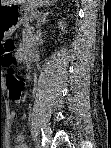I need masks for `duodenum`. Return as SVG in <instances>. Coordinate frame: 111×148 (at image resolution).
<instances>
[{
    "label": "duodenum",
    "mask_w": 111,
    "mask_h": 148,
    "mask_svg": "<svg viewBox=\"0 0 111 148\" xmlns=\"http://www.w3.org/2000/svg\"><path fill=\"white\" fill-rule=\"evenodd\" d=\"M23 59H24V60H29L30 58H29L28 55H25V54H24V55H23Z\"/></svg>",
    "instance_id": "duodenum-1"
}]
</instances>
